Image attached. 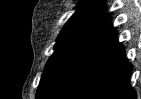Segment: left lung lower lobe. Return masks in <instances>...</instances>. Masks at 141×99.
<instances>
[{
    "mask_svg": "<svg viewBox=\"0 0 141 99\" xmlns=\"http://www.w3.org/2000/svg\"><path fill=\"white\" fill-rule=\"evenodd\" d=\"M132 66L110 20L73 55L40 99H136Z\"/></svg>",
    "mask_w": 141,
    "mask_h": 99,
    "instance_id": "1",
    "label": "left lung lower lobe"
}]
</instances>
